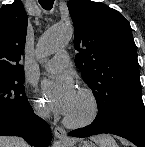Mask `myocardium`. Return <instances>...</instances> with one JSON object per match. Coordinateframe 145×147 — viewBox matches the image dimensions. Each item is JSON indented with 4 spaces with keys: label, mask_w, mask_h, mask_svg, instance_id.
<instances>
[{
    "label": "myocardium",
    "mask_w": 145,
    "mask_h": 147,
    "mask_svg": "<svg viewBox=\"0 0 145 147\" xmlns=\"http://www.w3.org/2000/svg\"><path fill=\"white\" fill-rule=\"evenodd\" d=\"M81 96H83L88 104L89 110L88 113L82 118L73 119L66 116L63 120L64 124L70 128H83L91 125L99 116L100 113V105L96 95L88 88H81L78 92Z\"/></svg>",
    "instance_id": "1"
}]
</instances>
